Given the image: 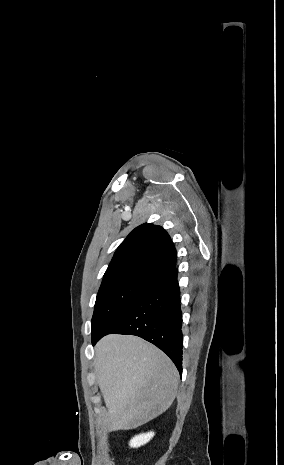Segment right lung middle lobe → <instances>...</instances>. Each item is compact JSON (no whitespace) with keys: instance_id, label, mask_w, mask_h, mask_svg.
Here are the masks:
<instances>
[{"instance_id":"obj_1","label":"right lung middle lobe","mask_w":284,"mask_h":465,"mask_svg":"<svg viewBox=\"0 0 284 465\" xmlns=\"http://www.w3.org/2000/svg\"><path fill=\"white\" fill-rule=\"evenodd\" d=\"M153 279L137 276H122L102 281L98 291L91 320L92 339L152 283Z\"/></svg>"}]
</instances>
